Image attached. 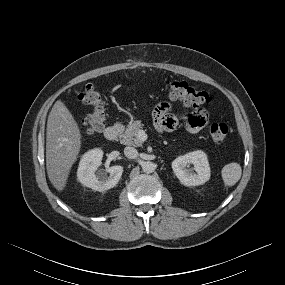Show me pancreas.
<instances>
[{
    "mask_svg": "<svg viewBox=\"0 0 285 285\" xmlns=\"http://www.w3.org/2000/svg\"><path fill=\"white\" fill-rule=\"evenodd\" d=\"M116 127L121 130L120 142L122 144L134 147L142 145L141 140L138 138V132L142 129L143 124L139 120L130 122L126 128L121 124H117Z\"/></svg>",
    "mask_w": 285,
    "mask_h": 285,
    "instance_id": "cf45deb5",
    "label": "pancreas"
}]
</instances>
